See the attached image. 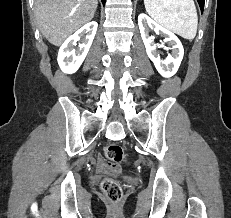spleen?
Wrapping results in <instances>:
<instances>
[{
    "label": "spleen",
    "instance_id": "1",
    "mask_svg": "<svg viewBox=\"0 0 231 218\" xmlns=\"http://www.w3.org/2000/svg\"><path fill=\"white\" fill-rule=\"evenodd\" d=\"M147 13L158 23L181 37L196 36L198 16L193 0H144Z\"/></svg>",
    "mask_w": 231,
    "mask_h": 218
}]
</instances>
